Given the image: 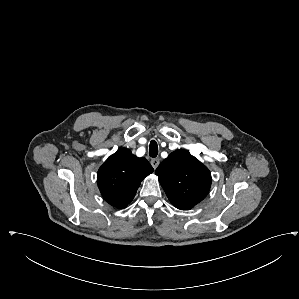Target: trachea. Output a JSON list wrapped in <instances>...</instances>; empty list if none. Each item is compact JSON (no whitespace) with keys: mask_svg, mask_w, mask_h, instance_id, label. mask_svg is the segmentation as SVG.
Here are the masks:
<instances>
[{"mask_svg":"<svg viewBox=\"0 0 299 299\" xmlns=\"http://www.w3.org/2000/svg\"><path fill=\"white\" fill-rule=\"evenodd\" d=\"M158 155V146L155 140H152L149 145V156L156 157Z\"/></svg>","mask_w":299,"mask_h":299,"instance_id":"1","label":"trachea"}]
</instances>
